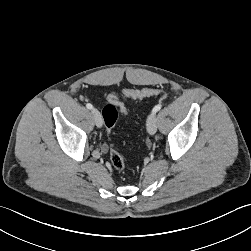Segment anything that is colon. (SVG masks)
Masks as SVG:
<instances>
[{
    "instance_id": "1",
    "label": "colon",
    "mask_w": 251,
    "mask_h": 251,
    "mask_svg": "<svg viewBox=\"0 0 251 251\" xmlns=\"http://www.w3.org/2000/svg\"><path fill=\"white\" fill-rule=\"evenodd\" d=\"M161 92L157 88H144L141 90L125 89L122 91V95L127 98L141 100L150 96L157 95ZM119 111L127 112V108L123 102L120 101L118 94L112 93L108 97V103L102 109V115L105 126L110 132L118 119ZM110 161L113 167L117 170H123L125 168V159L115 148L110 149Z\"/></svg>"
}]
</instances>
